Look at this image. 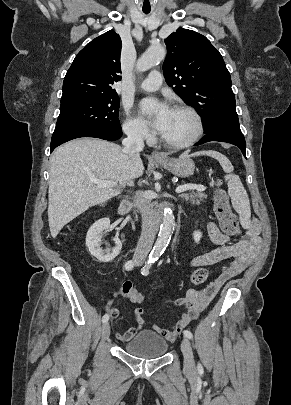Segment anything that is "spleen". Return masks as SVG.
I'll list each match as a JSON object with an SVG mask.
<instances>
[{
    "instance_id": "obj_1",
    "label": "spleen",
    "mask_w": 291,
    "mask_h": 405,
    "mask_svg": "<svg viewBox=\"0 0 291 405\" xmlns=\"http://www.w3.org/2000/svg\"><path fill=\"white\" fill-rule=\"evenodd\" d=\"M195 155H207L219 161L224 172L226 173L225 181H227L228 194L231 198L233 208L239 213L241 221L243 222L249 221L251 217L249 198L239 176L233 174L234 168L229 159L223 154L213 150L202 151L192 154V156ZM187 156H189L188 151L184 152L181 155V157Z\"/></svg>"
}]
</instances>
